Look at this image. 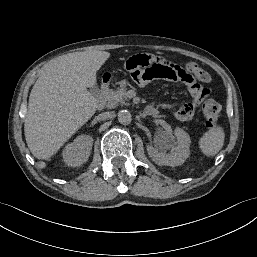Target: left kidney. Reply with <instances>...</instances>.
<instances>
[{"mask_svg": "<svg viewBox=\"0 0 257 257\" xmlns=\"http://www.w3.org/2000/svg\"><path fill=\"white\" fill-rule=\"evenodd\" d=\"M176 141L167 132L156 137V146H147L149 157L160 166H180L190 155V136L181 128L174 130ZM169 151V152H168Z\"/></svg>", "mask_w": 257, "mask_h": 257, "instance_id": "left-kidney-1", "label": "left kidney"}]
</instances>
